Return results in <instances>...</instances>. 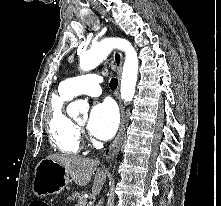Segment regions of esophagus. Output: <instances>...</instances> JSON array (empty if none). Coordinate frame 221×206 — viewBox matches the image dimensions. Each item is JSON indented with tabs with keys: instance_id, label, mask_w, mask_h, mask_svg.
Masks as SVG:
<instances>
[{
	"instance_id": "34e87169",
	"label": "esophagus",
	"mask_w": 221,
	"mask_h": 206,
	"mask_svg": "<svg viewBox=\"0 0 221 206\" xmlns=\"http://www.w3.org/2000/svg\"><path fill=\"white\" fill-rule=\"evenodd\" d=\"M114 62L118 71V75L119 77L121 76V72H122V63H123V55L121 52L119 51H115L114 55ZM118 100H119V107H120V113H121V123H120V127H119V131L117 136L115 137L113 143L110 146V159H114V157L117 156V154L120 151V147L122 145V141H123V136H124V131H125V123H126V118H125V111H124V106L123 103L120 99V96L118 95Z\"/></svg>"
}]
</instances>
